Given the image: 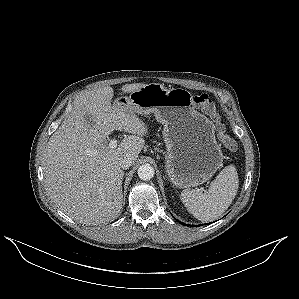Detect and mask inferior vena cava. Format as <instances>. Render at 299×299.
<instances>
[{
    "mask_svg": "<svg viewBox=\"0 0 299 299\" xmlns=\"http://www.w3.org/2000/svg\"><path fill=\"white\" fill-rule=\"evenodd\" d=\"M133 163V159L130 155H124L122 158L119 159V165L122 169H127Z\"/></svg>",
    "mask_w": 299,
    "mask_h": 299,
    "instance_id": "inferior-vena-cava-1",
    "label": "inferior vena cava"
}]
</instances>
